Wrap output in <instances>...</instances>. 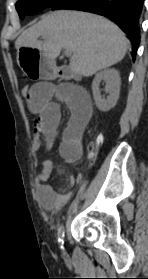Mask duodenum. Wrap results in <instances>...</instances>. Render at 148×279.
Listing matches in <instances>:
<instances>
[{"label":"duodenum","instance_id":"duodenum-1","mask_svg":"<svg viewBox=\"0 0 148 279\" xmlns=\"http://www.w3.org/2000/svg\"><path fill=\"white\" fill-rule=\"evenodd\" d=\"M57 75L63 80L73 79L77 76L68 66L58 67Z\"/></svg>","mask_w":148,"mask_h":279}]
</instances>
